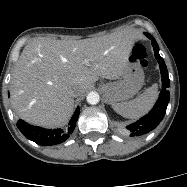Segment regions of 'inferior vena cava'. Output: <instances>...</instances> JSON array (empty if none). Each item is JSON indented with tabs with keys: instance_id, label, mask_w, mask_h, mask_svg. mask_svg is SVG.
<instances>
[{
	"instance_id": "obj_1",
	"label": "inferior vena cava",
	"mask_w": 187,
	"mask_h": 187,
	"mask_svg": "<svg viewBox=\"0 0 187 187\" xmlns=\"http://www.w3.org/2000/svg\"><path fill=\"white\" fill-rule=\"evenodd\" d=\"M71 94L73 97H77V96H79V91L77 89H74L71 91Z\"/></svg>"
}]
</instances>
